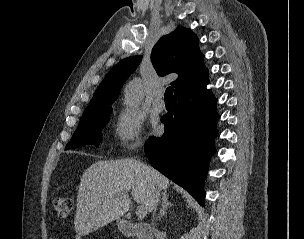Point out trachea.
<instances>
[{
	"label": "trachea",
	"mask_w": 304,
	"mask_h": 239,
	"mask_svg": "<svg viewBox=\"0 0 304 239\" xmlns=\"http://www.w3.org/2000/svg\"><path fill=\"white\" fill-rule=\"evenodd\" d=\"M173 90H174L173 86H170L166 89L165 94H164L165 100H172Z\"/></svg>",
	"instance_id": "3493384b"
}]
</instances>
